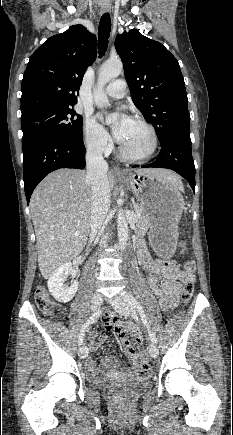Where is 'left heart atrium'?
Listing matches in <instances>:
<instances>
[{"instance_id":"obj_1","label":"left heart atrium","mask_w":233,"mask_h":435,"mask_svg":"<svg viewBox=\"0 0 233 435\" xmlns=\"http://www.w3.org/2000/svg\"><path fill=\"white\" fill-rule=\"evenodd\" d=\"M100 119H103V114L99 115ZM131 119L124 113L121 114V117L119 121L116 123V125L113 128L114 137L117 140V142L121 143L125 130L130 123Z\"/></svg>"}]
</instances>
